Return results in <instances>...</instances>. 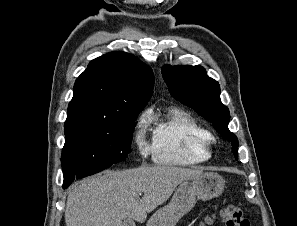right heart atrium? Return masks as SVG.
<instances>
[{"label":"right heart atrium","mask_w":297,"mask_h":226,"mask_svg":"<svg viewBox=\"0 0 297 226\" xmlns=\"http://www.w3.org/2000/svg\"><path fill=\"white\" fill-rule=\"evenodd\" d=\"M148 126V119L143 116L140 118L137 131H136V144L138 150L142 156H147L151 151H153V147L146 140V129Z\"/></svg>","instance_id":"right-heart-atrium-1"}]
</instances>
